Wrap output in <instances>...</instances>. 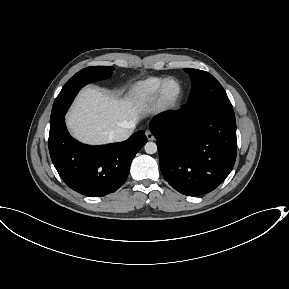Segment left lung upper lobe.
<instances>
[{"label":"left lung upper lobe","instance_id":"obj_1","mask_svg":"<svg viewBox=\"0 0 289 289\" xmlns=\"http://www.w3.org/2000/svg\"><path fill=\"white\" fill-rule=\"evenodd\" d=\"M191 79V92L187 104L217 103L232 107V104L221 84L208 72L185 68Z\"/></svg>","mask_w":289,"mask_h":289}]
</instances>
